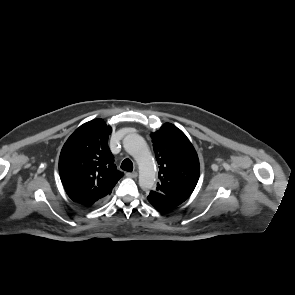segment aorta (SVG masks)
Wrapping results in <instances>:
<instances>
[{
	"label": "aorta",
	"mask_w": 295,
	"mask_h": 295,
	"mask_svg": "<svg viewBox=\"0 0 295 295\" xmlns=\"http://www.w3.org/2000/svg\"><path fill=\"white\" fill-rule=\"evenodd\" d=\"M123 147L139 166V186L150 190L156 182L153 158L144 138L138 134H128L123 140Z\"/></svg>",
	"instance_id": "762f6f07"
}]
</instances>
